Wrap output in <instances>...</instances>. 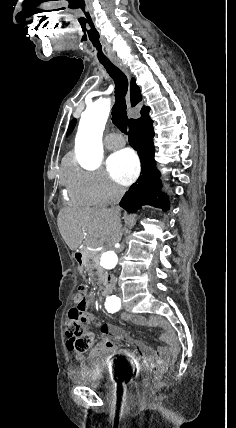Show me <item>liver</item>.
Here are the masks:
<instances>
[{
  "mask_svg": "<svg viewBox=\"0 0 236 428\" xmlns=\"http://www.w3.org/2000/svg\"><path fill=\"white\" fill-rule=\"evenodd\" d=\"M59 232L70 250H77L82 242L113 248L122 236L120 218L108 208H79L60 210Z\"/></svg>",
  "mask_w": 236,
  "mask_h": 428,
  "instance_id": "6515ba94",
  "label": "liver"
}]
</instances>
